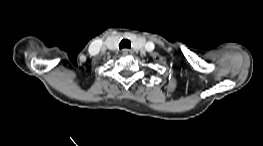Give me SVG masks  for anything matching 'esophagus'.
Here are the masks:
<instances>
[{"label":"esophagus","instance_id":"1","mask_svg":"<svg viewBox=\"0 0 263 146\" xmlns=\"http://www.w3.org/2000/svg\"><path fill=\"white\" fill-rule=\"evenodd\" d=\"M131 53H132V51L130 49H127V48L122 49V54L123 55H128V54H131Z\"/></svg>","mask_w":263,"mask_h":146}]
</instances>
